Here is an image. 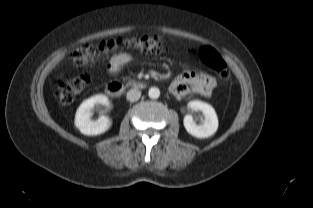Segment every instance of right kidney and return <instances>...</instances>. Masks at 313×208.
I'll list each match as a JSON object with an SVG mask.
<instances>
[{"label": "right kidney", "instance_id": "1", "mask_svg": "<svg viewBox=\"0 0 313 208\" xmlns=\"http://www.w3.org/2000/svg\"><path fill=\"white\" fill-rule=\"evenodd\" d=\"M96 106H104L101 116L97 121L91 119L92 109ZM109 110V100L105 95H95L85 100L78 108L75 116V126L84 135L96 136L106 132L111 121L107 116Z\"/></svg>", "mask_w": 313, "mask_h": 208}]
</instances>
